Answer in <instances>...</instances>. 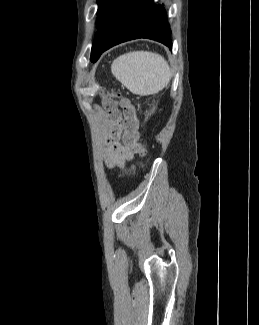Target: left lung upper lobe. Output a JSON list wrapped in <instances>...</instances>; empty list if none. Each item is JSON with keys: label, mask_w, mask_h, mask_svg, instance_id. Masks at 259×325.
Returning a JSON list of instances; mask_svg holds the SVG:
<instances>
[{"label": "left lung upper lobe", "mask_w": 259, "mask_h": 325, "mask_svg": "<svg viewBox=\"0 0 259 325\" xmlns=\"http://www.w3.org/2000/svg\"><path fill=\"white\" fill-rule=\"evenodd\" d=\"M98 1V20H97V28L99 32L96 33L90 60L92 62H96L100 57L102 41L104 36V31L106 30L108 23L113 16V14L117 11L120 5L124 0H97Z\"/></svg>", "instance_id": "1"}]
</instances>
